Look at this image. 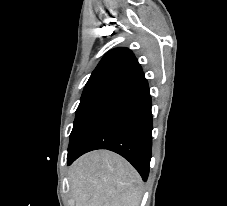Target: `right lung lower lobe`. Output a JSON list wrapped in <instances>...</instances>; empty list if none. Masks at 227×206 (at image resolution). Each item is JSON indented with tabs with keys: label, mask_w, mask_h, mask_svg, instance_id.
I'll use <instances>...</instances> for the list:
<instances>
[{
	"label": "right lung lower lobe",
	"mask_w": 227,
	"mask_h": 206,
	"mask_svg": "<svg viewBox=\"0 0 227 206\" xmlns=\"http://www.w3.org/2000/svg\"><path fill=\"white\" fill-rule=\"evenodd\" d=\"M151 96L145 77L130 83L128 90L95 120L76 148L68 165L82 154L108 149L127 159L146 181L152 149Z\"/></svg>",
	"instance_id": "98d812e1"
}]
</instances>
